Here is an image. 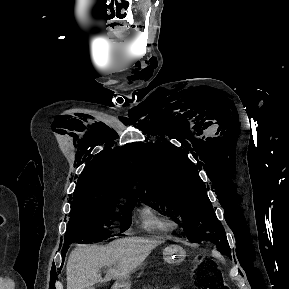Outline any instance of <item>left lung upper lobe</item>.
Here are the masks:
<instances>
[{"label": "left lung upper lobe", "mask_w": 289, "mask_h": 289, "mask_svg": "<svg viewBox=\"0 0 289 289\" xmlns=\"http://www.w3.org/2000/svg\"><path fill=\"white\" fill-rule=\"evenodd\" d=\"M142 182L138 197L147 205L182 222L190 242L209 241L231 257L225 230L217 219L196 166L174 145L147 143L139 150Z\"/></svg>", "instance_id": "obj_1"}]
</instances>
